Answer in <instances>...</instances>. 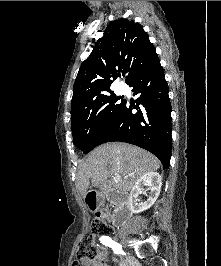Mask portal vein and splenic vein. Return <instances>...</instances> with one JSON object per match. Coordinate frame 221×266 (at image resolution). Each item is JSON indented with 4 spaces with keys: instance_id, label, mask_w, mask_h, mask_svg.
I'll list each match as a JSON object with an SVG mask.
<instances>
[{
    "instance_id": "obj_1",
    "label": "portal vein and splenic vein",
    "mask_w": 221,
    "mask_h": 266,
    "mask_svg": "<svg viewBox=\"0 0 221 266\" xmlns=\"http://www.w3.org/2000/svg\"><path fill=\"white\" fill-rule=\"evenodd\" d=\"M114 179H115L116 181H120V180H121V176H120V175H115V176H114Z\"/></svg>"
}]
</instances>
